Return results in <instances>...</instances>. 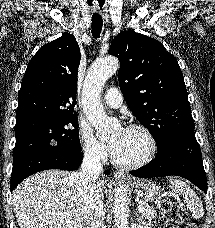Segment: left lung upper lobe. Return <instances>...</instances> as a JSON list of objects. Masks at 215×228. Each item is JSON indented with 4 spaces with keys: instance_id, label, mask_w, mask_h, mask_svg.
<instances>
[{
    "instance_id": "5c2ea615",
    "label": "left lung upper lobe",
    "mask_w": 215,
    "mask_h": 228,
    "mask_svg": "<svg viewBox=\"0 0 215 228\" xmlns=\"http://www.w3.org/2000/svg\"><path fill=\"white\" fill-rule=\"evenodd\" d=\"M120 61L118 80L126 103L157 147L194 131L187 90L178 61L151 37L122 31L108 50Z\"/></svg>"
}]
</instances>
